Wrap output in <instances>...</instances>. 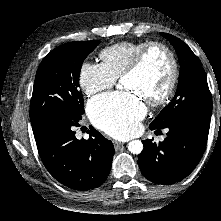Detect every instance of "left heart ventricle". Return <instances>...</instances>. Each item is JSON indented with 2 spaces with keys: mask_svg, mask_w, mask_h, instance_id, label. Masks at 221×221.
Here are the masks:
<instances>
[{
  "mask_svg": "<svg viewBox=\"0 0 221 221\" xmlns=\"http://www.w3.org/2000/svg\"><path fill=\"white\" fill-rule=\"evenodd\" d=\"M169 61L161 49L151 50L142 68L135 74L122 79L124 87L137 92L142 98H153L160 95L169 76Z\"/></svg>",
  "mask_w": 221,
  "mask_h": 221,
  "instance_id": "b2bd125f",
  "label": "left heart ventricle"
}]
</instances>
